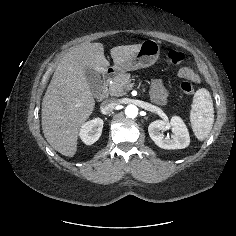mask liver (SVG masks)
<instances>
[{
    "instance_id": "obj_1",
    "label": "liver",
    "mask_w": 236,
    "mask_h": 236,
    "mask_svg": "<svg viewBox=\"0 0 236 236\" xmlns=\"http://www.w3.org/2000/svg\"><path fill=\"white\" fill-rule=\"evenodd\" d=\"M141 44L113 47L115 65L129 60ZM110 66L102 43H82L71 47L60 59L42 101V130L48 143L59 153L73 157L81 127L95 107L85 68L105 73Z\"/></svg>"
}]
</instances>
